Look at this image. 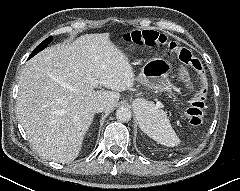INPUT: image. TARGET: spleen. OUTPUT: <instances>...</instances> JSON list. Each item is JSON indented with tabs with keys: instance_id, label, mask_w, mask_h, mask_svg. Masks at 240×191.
I'll list each match as a JSON object with an SVG mask.
<instances>
[{
	"instance_id": "obj_1",
	"label": "spleen",
	"mask_w": 240,
	"mask_h": 191,
	"mask_svg": "<svg viewBox=\"0 0 240 191\" xmlns=\"http://www.w3.org/2000/svg\"><path fill=\"white\" fill-rule=\"evenodd\" d=\"M140 128L150 138L162 145L174 147L180 144V139L173 130L166 113L155 109L151 104L145 109Z\"/></svg>"
}]
</instances>
